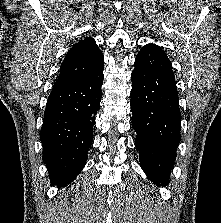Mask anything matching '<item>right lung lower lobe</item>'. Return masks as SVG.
I'll use <instances>...</instances> for the list:
<instances>
[{
  "mask_svg": "<svg viewBox=\"0 0 221 223\" xmlns=\"http://www.w3.org/2000/svg\"><path fill=\"white\" fill-rule=\"evenodd\" d=\"M104 65L86 78L50 93L40 139L52 185L67 186L85 166L94 115L102 98Z\"/></svg>",
  "mask_w": 221,
  "mask_h": 223,
  "instance_id": "obj_1",
  "label": "right lung lower lobe"
}]
</instances>
